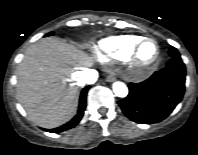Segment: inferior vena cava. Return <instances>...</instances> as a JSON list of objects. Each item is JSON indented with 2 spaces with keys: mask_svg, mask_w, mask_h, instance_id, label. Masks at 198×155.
Here are the masks:
<instances>
[{
  "mask_svg": "<svg viewBox=\"0 0 198 155\" xmlns=\"http://www.w3.org/2000/svg\"><path fill=\"white\" fill-rule=\"evenodd\" d=\"M80 78L82 83L92 84L97 80L98 72L96 70L91 69L81 71Z\"/></svg>",
  "mask_w": 198,
  "mask_h": 155,
  "instance_id": "obj_1",
  "label": "inferior vena cava"
}]
</instances>
